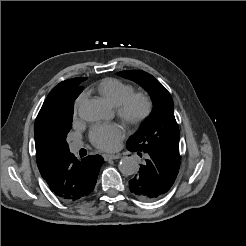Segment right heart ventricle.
<instances>
[{"label": "right heart ventricle", "instance_id": "e07e8e85", "mask_svg": "<svg viewBox=\"0 0 246 246\" xmlns=\"http://www.w3.org/2000/svg\"><path fill=\"white\" fill-rule=\"evenodd\" d=\"M97 91L111 105L117 106L134 92V88L120 79L106 78L97 85Z\"/></svg>", "mask_w": 246, "mask_h": 246}]
</instances>
